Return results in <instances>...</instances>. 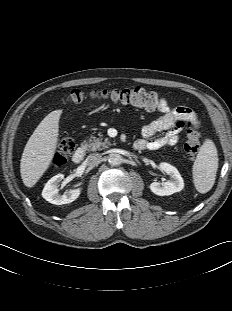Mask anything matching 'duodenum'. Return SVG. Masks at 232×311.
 <instances>
[{"label":"duodenum","mask_w":232,"mask_h":311,"mask_svg":"<svg viewBox=\"0 0 232 311\" xmlns=\"http://www.w3.org/2000/svg\"><path fill=\"white\" fill-rule=\"evenodd\" d=\"M141 144L139 143V142H135L134 143V148L136 149V150H141ZM84 155H85V150H84V148H78V149H76V151L73 153V155H72V161L74 162V163H81L82 162V160H83V158H84Z\"/></svg>","instance_id":"obj_1"}]
</instances>
